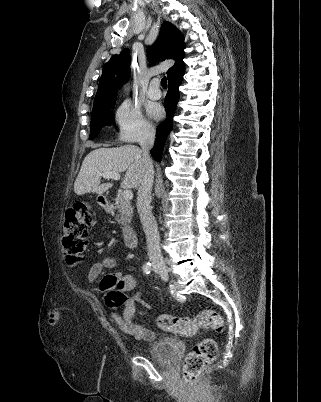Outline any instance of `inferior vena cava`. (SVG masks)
I'll use <instances>...</instances> for the list:
<instances>
[{"mask_svg": "<svg viewBox=\"0 0 321 402\" xmlns=\"http://www.w3.org/2000/svg\"><path fill=\"white\" fill-rule=\"evenodd\" d=\"M155 142V131L146 128L139 141L142 148V158L144 162V175L137 193V210L146 235L149 260L154 269L165 267V262L161 254L160 236L157 222L152 214L151 191L154 182V167L150 157V149Z\"/></svg>", "mask_w": 321, "mask_h": 402, "instance_id": "1", "label": "inferior vena cava"}]
</instances>
